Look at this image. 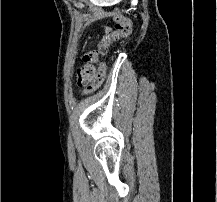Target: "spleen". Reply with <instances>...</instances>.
<instances>
[{
    "label": "spleen",
    "instance_id": "obj_1",
    "mask_svg": "<svg viewBox=\"0 0 217 202\" xmlns=\"http://www.w3.org/2000/svg\"><path fill=\"white\" fill-rule=\"evenodd\" d=\"M118 0H94L96 7H107L108 5H118Z\"/></svg>",
    "mask_w": 217,
    "mask_h": 202
}]
</instances>
